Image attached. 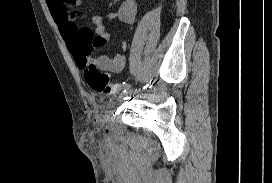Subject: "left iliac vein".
I'll list each match as a JSON object with an SVG mask.
<instances>
[{
  "mask_svg": "<svg viewBox=\"0 0 272 183\" xmlns=\"http://www.w3.org/2000/svg\"><path fill=\"white\" fill-rule=\"evenodd\" d=\"M136 93V90L129 88L125 93L120 94L119 99H124L125 97L131 96Z\"/></svg>",
  "mask_w": 272,
  "mask_h": 183,
  "instance_id": "4c4485c4",
  "label": "left iliac vein"
}]
</instances>
